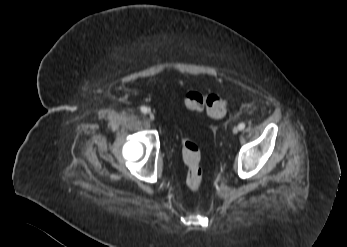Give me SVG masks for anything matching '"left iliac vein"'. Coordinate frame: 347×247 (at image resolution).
<instances>
[{
    "mask_svg": "<svg viewBox=\"0 0 347 247\" xmlns=\"http://www.w3.org/2000/svg\"><path fill=\"white\" fill-rule=\"evenodd\" d=\"M239 130H240V129H239L238 127H234V128H233V133H234V134H237V133L239 132Z\"/></svg>",
    "mask_w": 347,
    "mask_h": 247,
    "instance_id": "left-iliac-vein-1",
    "label": "left iliac vein"
}]
</instances>
